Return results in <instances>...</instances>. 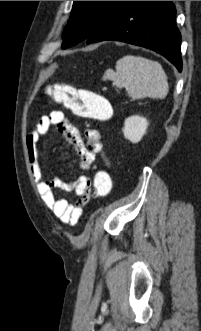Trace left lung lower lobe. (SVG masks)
I'll return each mask as SVG.
<instances>
[{
    "mask_svg": "<svg viewBox=\"0 0 201 331\" xmlns=\"http://www.w3.org/2000/svg\"><path fill=\"white\" fill-rule=\"evenodd\" d=\"M172 1H120L86 39L113 40L151 49L182 71L181 35Z\"/></svg>",
    "mask_w": 201,
    "mask_h": 331,
    "instance_id": "left-lung-lower-lobe-1",
    "label": "left lung lower lobe"
}]
</instances>
